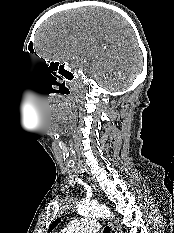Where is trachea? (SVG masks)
Wrapping results in <instances>:
<instances>
[{
	"label": "trachea",
	"mask_w": 174,
	"mask_h": 233,
	"mask_svg": "<svg viewBox=\"0 0 174 233\" xmlns=\"http://www.w3.org/2000/svg\"><path fill=\"white\" fill-rule=\"evenodd\" d=\"M110 231H111V229H110L109 226H106V227L104 228V233H110Z\"/></svg>",
	"instance_id": "3493384b"
}]
</instances>
